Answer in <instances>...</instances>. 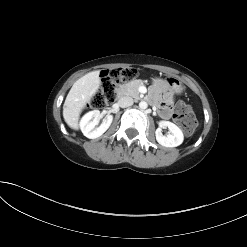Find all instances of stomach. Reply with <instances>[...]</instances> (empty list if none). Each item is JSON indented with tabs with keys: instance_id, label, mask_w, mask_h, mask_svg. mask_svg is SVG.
I'll return each mask as SVG.
<instances>
[{
	"instance_id": "0dacf381",
	"label": "stomach",
	"mask_w": 247,
	"mask_h": 247,
	"mask_svg": "<svg viewBox=\"0 0 247 247\" xmlns=\"http://www.w3.org/2000/svg\"><path fill=\"white\" fill-rule=\"evenodd\" d=\"M166 82L174 93L179 94L184 90L182 82L175 77H168Z\"/></svg>"
}]
</instances>
